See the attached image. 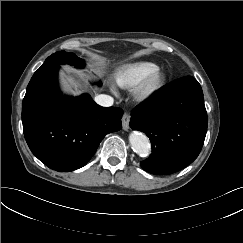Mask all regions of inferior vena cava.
<instances>
[{"instance_id": "inferior-vena-cava-1", "label": "inferior vena cava", "mask_w": 243, "mask_h": 243, "mask_svg": "<svg viewBox=\"0 0 243 243\" xmlns=\"http://www.w3.org/2000/svg\"><path fill=\"white\" fill-rule=\"evenodd\" d=\"M95 102L103 107H109L113 105V98L109 95L100 94L95 97Z\"/></svg>"}]
</instances>
